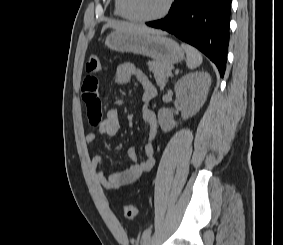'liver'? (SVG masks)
Wrapping results in <instances>:
<instances>
[{
  "instance_id": "1",
  "label": "liver",
  "mask_w": 283,
  "mask_h": 245,
  "mask_svg": "<svg viewBox=\"0 0 283 245\" xmlns=\"http://www.w3.org/2000/svg\"><path fill=\"white\" fill-rule=\"evenodd\" d=\"M107 28H113L116 31H124V32L150 33V34H156V35L160 34V32H157L145 26L136 25V24L127 23V22L110 21L106 25L103 26L101 32L103 33Z\"/></svg>"
}]
</instances>
